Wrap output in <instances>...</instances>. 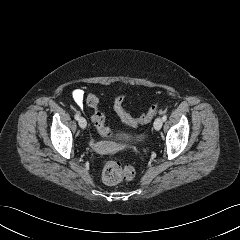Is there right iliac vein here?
<instances>
[{"label":"right iliac vein","mask_w":240,"mask_h":240,"mask_svg":"<svg viewBox=\"0 0 240 240\" xmlns=\"http://www.w3.org/2000/svg\"><path fill=\"white\" fill-rule=\"evenodd\" d=\"M78 124L82 129L86 128V126H87V122H86L85 118H83V117L79 118Z\"/></svg>","instance_id":"right-iliac-vein-1"}]
</instances>
